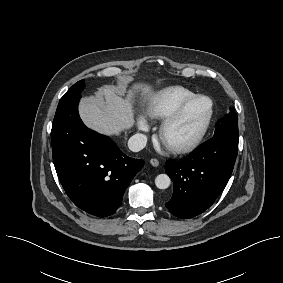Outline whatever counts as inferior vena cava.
Wrapping results in <instances>:
<instances>
[{
    "label": "inferior vena cava",
    "instance_id": "1",
    "mask_svg": "<svg viewBox=\"0 0 283 283\" xmlns=\"http://www.w3.org/2000/svg\"><path fill=\"white\" fill-rule=\"evenodd\" d=\"M147 143V137L144 134L137 133L128 140V147L133 152L142 150Z\"/></svg>",
    "mask_w": 283,
    "mask_h": 283
}]
</instances>
